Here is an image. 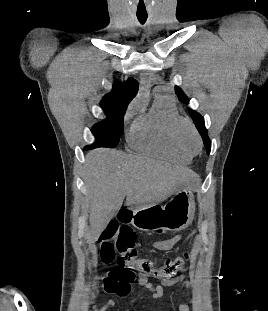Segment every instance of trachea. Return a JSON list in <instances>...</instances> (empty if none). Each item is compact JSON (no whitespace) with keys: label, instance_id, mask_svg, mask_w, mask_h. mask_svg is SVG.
Returning a JSON list of instances; mask_svg holds the SVG:
<instances>
[{"label":"trachea","instance_id":"trachea-1","mask_svg":"<svg viewBox=\"0 0 268 311\" xmlns=\"http://www.w3.org/2000/svg\"><path fill=\"white\" fill-rule=\"evenodd\" d=\"M147 17H148V15H140V14H137V18H138V20H139V22H140L141 24H144V23L146 22Z\"/></svg>","mask_w":268,"mask_h":311}]
</instances>
